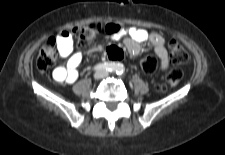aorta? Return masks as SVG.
Segmentation results:
<instances>
[{
	"label": "aorta",
	"mask_w": 225,
	"mask_h": 155,
	"mask_svg": "<svg viewBox=\"0 0 225 155\" xmlns=\"http://www.w3.org/2000/svg\"><path fill=\"white\" fill-rule=\"evenodd\" d=\"M122 69H123V67L119 66L117 70L120 72V71H122Z\"/></svg>",
	"instance_id": "1"
}]
</instances>
